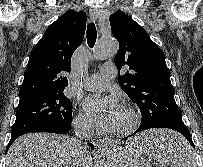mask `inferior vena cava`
Instances as JSON below:
<instances>
[{
    "mask_svg": "<svg viewBox=\"0 0 203 167\" xmlns=\"http://www.w3.org/2000/svg\"><path fill=\"white\" fill-rule=\"evenodd\" d=\"M74 133L78 139H75V145L77 146L79 153L83 156L86 151V147L83 145V140L92 138L93 131L91 125L86 120H79L74 122Z\"/></svg>",
    "mask_w": 203,
    "mask_h": 167,
    "instance_id": "inferior-vena-cava-1",
    "label": "inferior vena cava"
}]
</instances>
